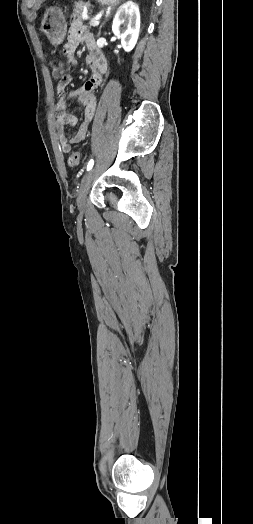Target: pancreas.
I'll list each match as a JSON object with an SVG mask.
<instances>
[{
  "instance_id": "obj_1",
  "label": "pancreas",
  "mask_w": 253,
  "mask_h": 524,
  "mask_svg": "<svg viewBox=\"0 0 253 524\" xmlns=\"http://www.w3.org/2000/svg\"><path fill=\"white\" fill-rule=\"evenodd\" d=\"M89 4L83 1L76 2L74 5L73 13L71 15L72 18H82L83 11L85 9L89 8Z\"/></svg>"
}]
</instances>
